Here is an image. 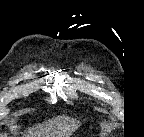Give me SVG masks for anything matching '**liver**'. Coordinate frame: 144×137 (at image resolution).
Wrapping results in <instances>:
<instances>
[{"instance_id":"liver-1","label":"liver","mask_w":144,"mask_h":137,"mask_svg":"<svg viewBox=\"0 0 144 137\" xmlns=\"http://www.w3.org/2000/svg\"><path fill=\"white\" fill-rule=\"evenodd\" d=\"M80 124L76 119L57 116L39 124L36 129H28L25 135L26 137H70Z\"/></svg>"}]
</instances>
